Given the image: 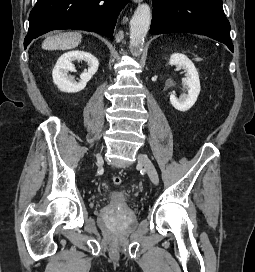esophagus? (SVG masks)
Instances as JSON below:
<instances>
[{
	"label": "esophagus",
	"instance_id": "esophagus-1",
	"mask_svg": "<svg viewBox=\"0 0 255 272\" xmlns=\"http://www.w3.org/2000/svg\"><path fill=\"white\" fill-rule=\"evenodd\" d=\"M134 2H136V3H139V2H141L142 0H133Z\"/></svg>",
	"mask_w": 255,
	"mask_h": 272
}]
</instances>
